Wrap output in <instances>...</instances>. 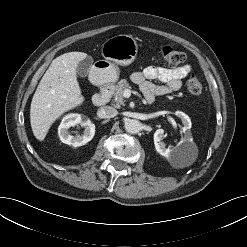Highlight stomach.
Returning <instances> with one entry per match:
<instances>
[{
	"instance_id": "1",
	"label": "stomach",
	"mask_w": 247,
	"mask_h": 247,
	"mask_svg": "<svg viewBox=\"0 0 247 247\" xmlns=\"http://www.w3.org/2000/svg\"><path fill=\"white\" fill-rule=\"evenodd\" d=\"M138 44L132 35L120 34L111 37L102 45L104 60L94 66V77L100 84L115 82L119 77L120 66L131 64L136 58Z\"/></svg>"
}]
</instances>
